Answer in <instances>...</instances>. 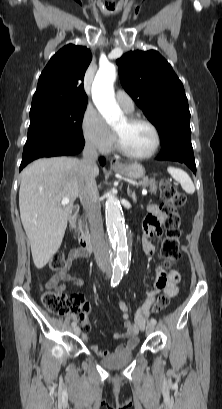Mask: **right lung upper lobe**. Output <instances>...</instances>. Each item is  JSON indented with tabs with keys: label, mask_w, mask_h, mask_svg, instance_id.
<instances>
[{
	"label": "right lung upper lobe",
	"mask_w": 222,
	"mask_h": 409,
	"mask_svg": "<svg viewBox=\"0 0 222 409\" xmlns=\"http://www.w3.org/2000/svg\"><path fill=\"white\" fill-rule=\"evenodd\" d=\"M92 59L89 49L68 44L60 49L41 73L31 109L57 104L87 103L83 80Z\"/></svg>",
	"instance_id": "right-lung-upper-lobe-1"
}]
</instances>
